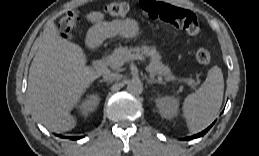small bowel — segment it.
<instances>
[{
	"label": "small bowel",
	"mask_w": 259,
	"mask_h": 156,
	"mask_svg": "<svg viewBox=\"0 0 259 156\" xmlns=\"http://www.w3.org/2000/svg\"><path fill=\"white\" fill-rule=\"evenodd\" d=\"M88 20L93 24L90 33L93 42L112 35L134 36L139 31L137 21L133 19L106 21L101 13L92 12Z\"/></svg>",
	"instance_id": "1"
}]
</instances>
